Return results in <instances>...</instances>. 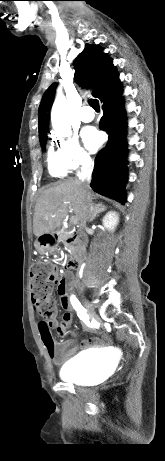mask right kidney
Segmentation results:
<instances>
[{
  "mask_svg": "<svg viewBox=\"0 0 165 461\" xmlns=\"http://www.w3.org/2000/svg\"><path fill=\"white\" fill-rule=\"evenodd\" d=\"M118 220V214L116 212L110 211L103 218V226L109 231H114L118 224Z\"/></svg>",
  "mask_w": 165,
  "mask_h": 461,
  "instance_id": "obj_1",
  "label": "right kidney"
}]
</instances>
